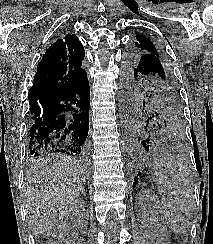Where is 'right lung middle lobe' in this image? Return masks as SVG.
<instances>
[{"mask_svg": "<svg viewBox=\"0 0 213 244\" xmlns=\"http://www.w3.org/2000/svg\"><path fill=\"white\" fill-rule=\"evenodd\" d=\"M29 102H30V110H31V107H32V104H33V99H29Z\"/></svg>", "mask_w": 213, "mask_h": 244, "instance_id": "1", "label": "right lung middle lobe"}]
</instances>
